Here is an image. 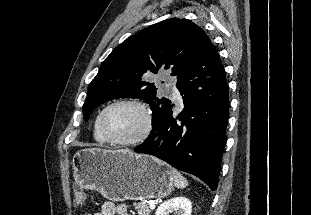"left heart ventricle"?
Returning a JSON list of instances; mask_svg holds the SVG:
<instances>
[{
	"label": "left heart ventricle",
	"instance_id": "left-heart-ventricle-1",
	"mask_svg": "<svg viewBox=\"0 0 311 215\" xmlns=\"http://www.w3.org/2000/svg\"><path fill=\"white\" fill-rule=\"evenodd\" d=\"M145 124L143 112L133 105H117L107 111L104 117L106 132L117 139H131L138 136Z\"/></svg>",
	"mask_w": 311,
	"mask_h": 215
}]
</instances>
